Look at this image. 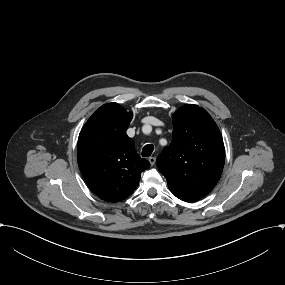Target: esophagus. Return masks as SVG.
<instances>
[{
  "instance_id": "obj_1",
  "label": "esophagus",
  "mask_w": 285,
  "mask_h": 285,
  "mask_svg": "<svg viewBox=\"0 0 285 285\" xmlns=\"http://www.w3.org/2000/svg\"><path fill=\"white\" fill-rule=\"evenodd\" d=\"M148 161L150 162V164L153 166L156 162V158L155 157H149Z\"/></svg>"
}]
</instances>
